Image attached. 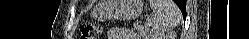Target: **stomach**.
Segmentation results:
<instances>
[{
	"instance_id": "obj_1",
	"label": "stomach",
	"mask_w": 249,
	"mask_h": 39,
	"mask_svg": "<svg viewBox=\"0 0 249 39\" xmlns=\"http://www.w3.org/2000/svg\"><path fill=\"white\" fill-rule=\"evenodd\" d=\"M141 0H103L94 8L92 14L98 19L119 18L136 19L142 14Z\"/></svg>"
}]
</instances>
